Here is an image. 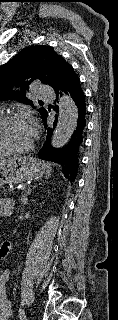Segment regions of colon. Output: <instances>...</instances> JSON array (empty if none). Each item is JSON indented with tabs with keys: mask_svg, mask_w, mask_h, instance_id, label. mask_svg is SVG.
Returning a JSON list of instances; mask_svg holds the SVG:
<instances>
[{
	"mask_svg": "<svg viewBox=\"0 0 118 320\" xmlns=\"http://www.w3.org/2000/svg\"><path fill=\"white\" fill-rule=\"evenodd\" d=\"M4 249L6 250V244H4ZM6 255V252H1L0 251V259H3Z\"/></svg>",
	"mask_w": 118,
	"mask_h": 320,
	"instance_id": "1",
	"label": "colon"
}]
</instances>
